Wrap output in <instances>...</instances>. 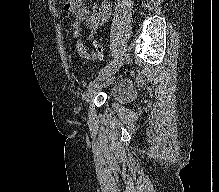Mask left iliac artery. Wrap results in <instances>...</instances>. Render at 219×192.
Returning <instances> with one entry per match:
<instances>
[{"label":"left iliac artery","instance_id":"obj_1","mask_svg":"<svg viewBox=\"0 0 219 192\" xmlns=\"http://www.w3.org/2000/svg\"><path fill=\"white\" fill-rule=\"evenodd\" d=\"M115 60V59H114ZM114 60H112L111 62H109L106 66H104L103 68L100 69V71L98 72L99 75L102 74L103 72L107 71L110 66L113 64Z\"/></svg>","mask_w":219,"mask_h":192}]
</instances>
